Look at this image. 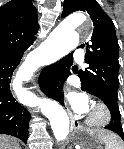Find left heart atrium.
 <instances>
[{
    "label": "left heart atrium",
    "mask_w": 124,
    "mask_h": 149,
    "mask_svg": "<svg viewBox=\"0 0 124 149\" xmlns=\"http://www.w3.org/2000/svg\"><path fill=\"white\" fill-rule=\"evenodd\" d=\"M67 98L75 111L86 113L89 111V103L86 96L67 91Z\"/></svg>",
    "instance_id": "left-heart-atrium-1"
}]
</instances>
